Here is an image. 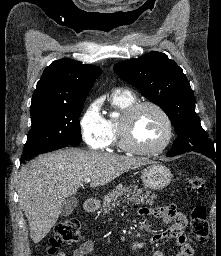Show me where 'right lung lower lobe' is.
<instances>
[{"label": "right lung lower lobe", "mask_w": 221, "mask_h": 256, "mask_svg": "<svg viewBox=\"0 0 221 256\" xmlns=\"http://www.w3.org/2000/svg\"><path fill=\"white\" fill-rule=\"evenodd\" d=\"M66 146H68V145L57 146V147L51 148V149H49V150H47V151H45L43 153L54 151V150H57V149H60V148L66 147Z\"/></svg>", "instance_id": "1"}]
</instances>
